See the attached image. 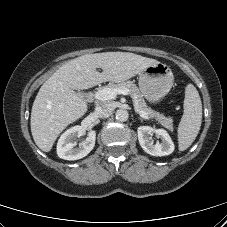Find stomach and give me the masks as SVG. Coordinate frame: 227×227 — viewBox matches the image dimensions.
<instances>
[{"mask_svg":"<svg viewBox=\"0 0 227 227\" xmlns=\"http://www.w3.org/2000/svg\"><path fill=\"white\" fill-rule=\"evenodd\" d=\"M174 83L171 69L163 63L148 66L139 73V90L151 103H159Z\"/></svg>","mask_w":227,"mask_h":227,"instance_id":"stomach-1","label":"stomach"}]
</instances>
